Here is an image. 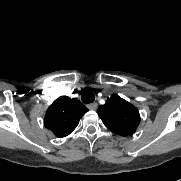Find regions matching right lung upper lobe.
Wrapping results in <instances>:
<instances>
[{
  "mask_svg": "<svg viewBox=\"0 0 181 181\" xmlns=\"http://www.w3.org/2000/svg\"><path fill=\"white\" fill-rule=\"evenodd\" d=\"M88 109L76 98L61 96L47 109L44 125L58 138L69 135Z\"/></svg>",
  "mask_w": 181,
  "mask_h": 181,
  "instance_id": "cb5924a9",
  "label": "right lung upper lobe"
}]
</instances>
